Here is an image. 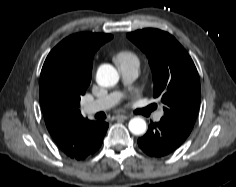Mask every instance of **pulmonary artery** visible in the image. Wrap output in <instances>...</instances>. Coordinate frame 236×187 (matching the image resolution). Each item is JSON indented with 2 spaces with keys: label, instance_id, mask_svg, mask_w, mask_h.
<instances>
[{
  "label": "pulmonary artery",
  "instance_id": "pulmonary-artery-1",
  "mask_svg": "<svg viewBox=\"0 0 236 187\" xmlns=\"http://www.w3.org/2000/svg\"><path fill=\"white\" fill-rule=\"evenodd\" d=\"M122 78L125 82H132L138 76V68L134 66H126L120 69ZM120 98L119 93H110L103 97H100L94 101L88 102L84 106V113L87 115H92L99 111H105L113 107ZM163 116V111H159L155 115V120L159 121Z\"/></svg>",
  "mask_w": 236,
  "mask_h": 187
}]
</instances>
